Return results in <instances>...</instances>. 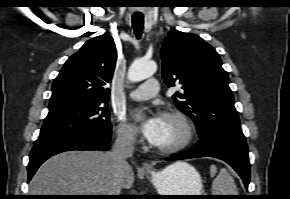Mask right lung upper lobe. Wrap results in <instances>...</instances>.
<instances>
[{"instance_id": "obj_1", "label": "right lung upper lobe", "mask_w": 290, "mask_h": 199, "mask_svg": "<svg viewBox=\"0 0 290 199\" xmlns=\"http://www.w3.org/2000/svg\"><path fill=\"white\" fill-rule=\"evenodd\" d=\"M117 59L111 36L101 35L88 40L69 57L52 85L49 112L64 107L107 103Z\"/></svg>"}]
</instances>
